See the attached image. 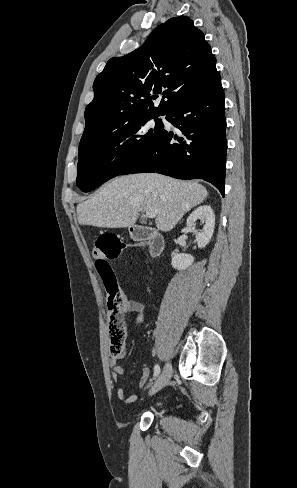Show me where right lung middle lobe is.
I'll return each instance as SVG.
<instances>
[{"label":"right lung middle lobe","mask_w":297,"mask_h":488,"mask_svg":"<svg viewBox=\"0 0 297 488\" xmlns=\"http://www.w3.org/2000/svg\"><path fill=\"white\" fill-rule=\"evenodd\" d=\"M155 117L141 118L96 138L81 139L78 188L83 192L92 191L134 163L163 130L159 119H155L154 128L146 125Z\"/></svg>","instance_id":"right-lung-middle-lobe-1"}]
</instances>
